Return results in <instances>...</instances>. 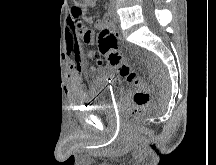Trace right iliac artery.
<instances>
[{"mask_svg":"<svg viewBox=\"0 0 216 165\" xmlns=\"http://www.w3.org/2000/svg\"><path fill=\"white\" fill-rule=\"evenodd\" d=\"M113 14H114L113 6H112V3H110V6L108 8V16L111 18Z\"/></svg>","mask_w":216,"mask_h":165,"instance_id":"82829eb1","label":"right iliac artery"}]
</instances>
